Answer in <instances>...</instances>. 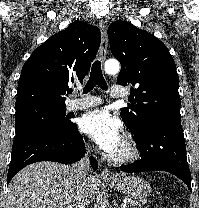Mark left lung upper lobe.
<instances>
[{
    "mask_svg": "<svg viewBox=\"0 0 199 208\" xmlns=\"http://www.w3.org/2000/svg\"><path fill=\"white\" fill-rule=\"evenodd\" d=\"M108 37L111 53L121 62L118 84L134 86L132 105L122 108L121 117L135 138L153 121L181 119L179 77L167 47L126 21L112 23Z\"/></svg>",
    "mask_w": 199,
    "mask_h": 208,
    "instance_id": "obj_1",
    "label": "left lung upper lobe"
}]
</instances>
